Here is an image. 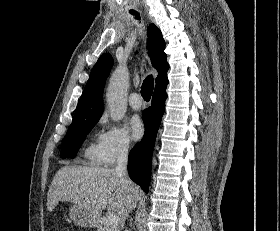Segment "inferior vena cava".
Instances as JSON below:
<instances>
[{"label":"inferior vena cava","mask_w":280,"mask_h":231,"mask_svg":"<svg viewBox=\"0 0 280 231\" xmlns=\"http://www.w3.org/2000/svg\"><path fill=\"white\" fill-rule=\"evenodd\" d=\"M128 149L129 143H126V141H122V143H119L117 165L115 167V171L117 175H120V177H124L127 183H130V179L127 175Z\"/></svg>","instance_id":"602c4592"}]
</instances>
